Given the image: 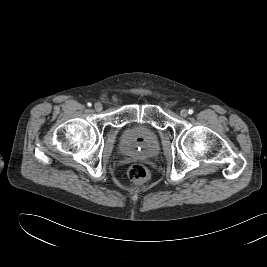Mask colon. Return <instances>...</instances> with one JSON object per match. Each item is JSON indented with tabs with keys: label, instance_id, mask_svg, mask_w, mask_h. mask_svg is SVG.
Instances as JSON below:
<instances>
[{
	"label": "colon",
	"instance_id": "1",
	"mask_svg": "<svg viewBox=\"0 0 267 267\" xmlns=\"http://www.w3.org/2000/svg\"><path fill=\"white\" fill-rule=\"evenodd\" d=\"M150 169L143 163H134L129 166L127 176L135 184H142L150 179Z\"/></svg>",
	"mask_w": 267,
	"mask_h": 267
}]
</instances>
